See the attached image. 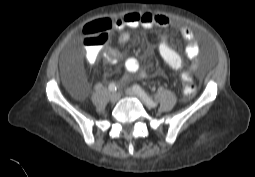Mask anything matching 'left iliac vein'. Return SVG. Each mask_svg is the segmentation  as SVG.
<instances>
[{"mask_svg":"<svg viewBox=\"0 0 255 177\" xmlns=\"http://www.w3.org/2000/svg\"><path fill=\"white\" fill-rule=\"evenodd\" d=\"M126 94H127L128 96H131V97H137V98H139L143 104H145L147 107H151V105H149V104L142 98V96H140V94H138L134 89L128 88V89L126 90Z\"/></svg>","mask_w":255,"mask_h":177,"instance_id":"left-iliac-vein-1","label":"left iliac vein"}]
</instances>
